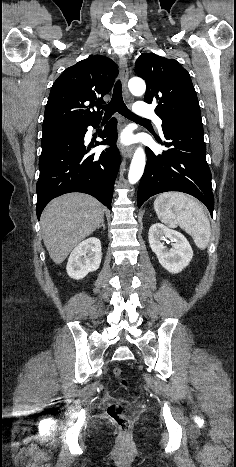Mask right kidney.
<instances>
[{
  "mask_svg": "<svg viewBox=\"0 0 236 467\" xmlns=\"http://www.w3.org/2000/svg\"><path fill=\"white\" fill-rule=\"evenodd\" d=\"M101 259L100 240L96 237L88 238L71 252L66 266L67 274L73 279H82L99 268Z\"/></svg>",
  "mask_w": 236,
  "mask_h": 467,
  "instance_id": "ca27d5eb",
  "label": "right kidney"
}]
</instances>
